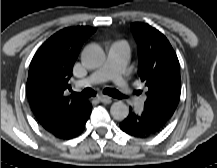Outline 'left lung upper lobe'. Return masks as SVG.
<instances>
[{
	"label": "left lung upper lobe",
	"instance_id": "left-lung-upper-lobe-1",
	"mask_svg": "<svg viewBox=\"0 0 217 168\" xmlns=\"http://www.w3.org/2000/svg\"><path fill=\"white\" fill-rule=\"evenodd\" d=\"M132 32L138 44V75L146 86L145 109L171 118L181 94L180 65L168 39L146 23H133Z\"/></svg>",
	"mask_w": 217,
	"mask_h": 168
}]
</instances>
